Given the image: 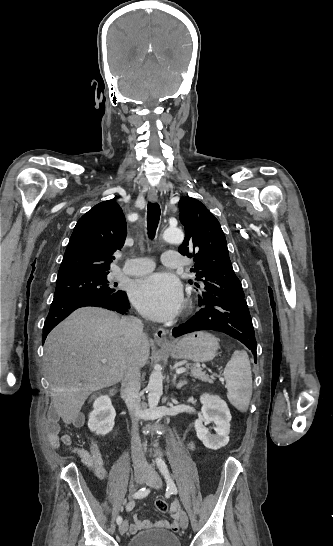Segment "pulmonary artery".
<instances>
[{"label": "pulmonary artery", "instance_id": "1", "mask_svg": "<svg viewBox=\"0 0 333 546\" xmlns=\"http://www.w3.org/2000/svg\"><path fill=\"white\" fill-rule=\"evenodd\" d=\"M162 263L170 268L182 266L183 261L176 251H166L162 255ZM155 267L154 261L150 258H132L126 261L122 272L129 276H139L151 272Z\"/></svg>", "mask_w": 333, "mask_h": 546}]
</instances>
